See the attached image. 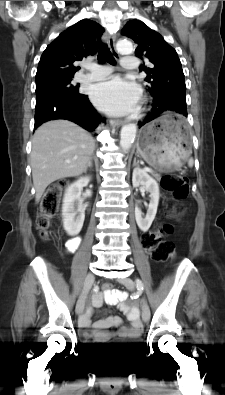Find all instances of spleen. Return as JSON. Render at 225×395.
Listing matches in <instances>:
<instances>
[{"label": "spleen", "mask_w": 225, "mask_h": 395, "mask_svg": "<svg viewBox=\"0 0 225 395\" xmlns=\"http://www.w3.org/2000/svg\"><path fill=\"white\" fill-rule=\"evenodd\" d=\"M188 164H189V166H192L193 165V159H189Z\"/></svg>", "instance_id": "3e777b00"}]
</instances>
